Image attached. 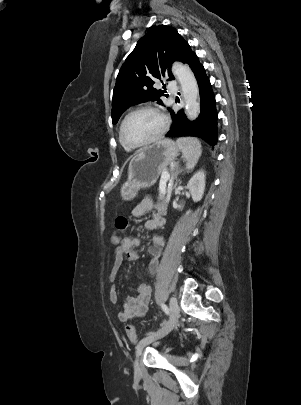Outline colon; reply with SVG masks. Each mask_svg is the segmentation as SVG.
<instances>
[{"instance_id": "colon-1", "label": "colon", "mask_w": 301, "mask_h": 405, "mask_svg": "<svg viewBox=\"0 0 301 405\" xmlns=\"http://www.w3.org/2000/svg\"><path fill=\"white\" fill-rule=\"evenodd\" d=\"M115 226L119 232H123L128 228V220L123 216H119L115 220ZM122 240L123 239L119 233H114L111 238L112 246L118 247L120 245V243L122 242ZM126 334L131 342H133V343L137 342L138 337H137V333H136V330L133 325L128 324L126 326Z\"/></svg>"}]
</instances>
